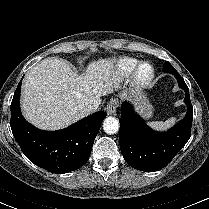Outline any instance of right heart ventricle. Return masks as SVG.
Masks as SVG:
<instances>
[{
	"label": "right heart ventricle",
	"instance_id": "e07e8e85",
	"mask_svg": "<svg viewBox=\"0 0 209 209\" xmlns=\"http://www.w3.org/2000/svg\"><path fill=\"white\" fill-rule=\"evenodd\" d=\"M139 61L134 58H122L116 65V73L122 77L131 76L136 70Z\"/></svg>",
	"mask_w": 209,
	"mask_h": 209
}]
</instances>
